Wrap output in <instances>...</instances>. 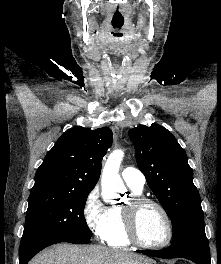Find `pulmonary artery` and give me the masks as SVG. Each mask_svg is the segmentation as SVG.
I'll return each instance as SVG.
<instances>
[{
    "label": "pulmonary artery",
    "mask_w": 221,
    "mask_h": 264,
    "mask_svg": "<svg viewBox=\"0 0 221 264\" xmlns=\"http://www.w3.org/2000/svg\"><path fill=\"white\" fill-rule=\"evenodd\" d=\"M121 176L130 187L137 190H142L146 182L144 174L139 169L131 166L124 168Z\"/></svg>",
    "instance_id": "pulmonary-artery-1"
}]
</instances>
